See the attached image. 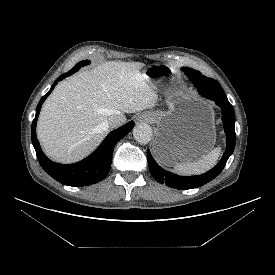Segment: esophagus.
I'll return each instance as SVG.
<instances>
[{
	"label": "esophagus",
	"mask_w": 275,
	"mask_h": 275,
	"mask_svg": "<svg viewBox=\"0 0 275 275\" xmlns=\"http://www.w3.org/2000/svg\"><path fill=\"white\" fill-rule=\"evenodd\" d=\"M139 118L143 119L144 121L146 122H150V120L152 119L150 116L148 115H142V116H139ZM139 120V119H138Z\"/></svg>",
	"instance_id": "obj_1"
}]
</instances>
